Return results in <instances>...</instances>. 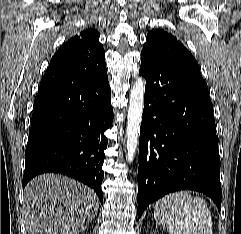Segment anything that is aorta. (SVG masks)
Masks as SVG:
<instances>
[{
	"label": "aorta",
	"mask_w": 241,
	"mask_h": 234,
	"mask_svg": "<svg viewBox=\"0 0 241 234\" xmlns=\"http://www.w3.org/2000/svg\"><path fill=\"white\" fill-rule=\"evenodd\" d=\"M145 81L137 77L131 87L126 128V161L131 163L134 159L138 143L144 106Z\"/></svg>",
	"instance_id": "762f6f07"
}]
</instances>
